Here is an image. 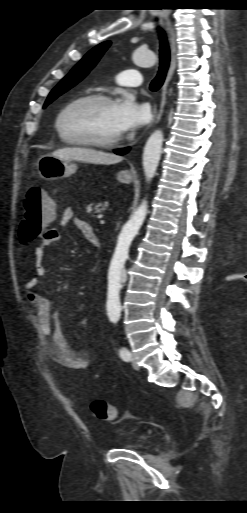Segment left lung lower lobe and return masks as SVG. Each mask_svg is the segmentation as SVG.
<instances>
[{
  "label": "left lung lower lobe",
  "instance_id": "1",
  "mask_svg": "<svg viewBox=\"0 0 247 513\" xmlns=\"http://www.w3.org/2000/svg\"><path fill=\"white\" fill-rule=\"evenodd\" d=\"M128 151H129V148H125V149L117 150V151H115V153L118 154V155H124Z\"/></svg>",
  "mask_w": 247,
  "mask_h": 513
}]
</instances>
